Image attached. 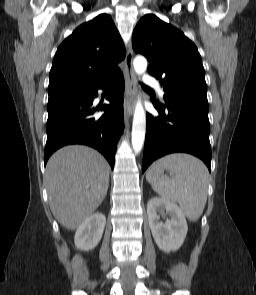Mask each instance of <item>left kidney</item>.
<instances>
[{"label":"left kidney","mask_w":256,"mask_h":295,"mask_svg":"<svg viewBox=\"0 0 256 295\" xmlns=\"http://www.w3.org/2000/svg\"><path fill=\"white\" fill-rule=\"evenodd\" d=\"M169 213L165 223L160 221L159 214ZM147 215L152 236L157 246L164 252H174L184 243L188 226L179 206L170 200L153 197L147 204Z\"/></svg>","instance_id":"left-kidney-1"}]
</instances>
